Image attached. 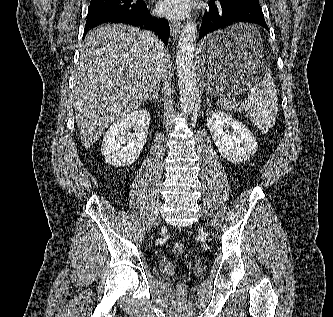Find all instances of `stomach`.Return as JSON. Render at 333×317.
Returning <instances> with one entry per match:
<instances>
[{"instance_id":"stomach-1","label":"stomach","mask_w":333,"mask_h":317,"mask_svg":"<svg viewBox=\"0 0 333 317\" xmlns=\"http://www.w3.org/2000/svg\"><path fill=\"white\" fill-rule=\"evenodd\" d=\"M256 40V41H253ZM199 88L219 97L238 95L267 74L262 62V40L256 24H227V29L206 33L199 47Z\"/></svg>"}]
</instances>
